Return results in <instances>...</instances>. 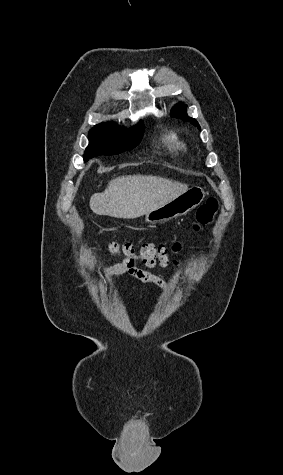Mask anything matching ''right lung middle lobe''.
I'll list each match as a JSON object with an SVG mask.
<instances>
[{
  "label": "right lung middle lobe",
  "mask_w": 283,
  "mask_h": 475,
  "mask_svg": "<svg viewBox=\"0 0 283 475\" xmlns=\"http://www.w3.org/2000/svg\"><path fill=\"white\" fill-rule=\"evenodd\" d=\"M143 131L142 123L126 130L114 123L94 126L88 134L89 146L85 150L84 161L99 155H115L133 149L140 143Z\"/></svg>",
  "instance_id": "obj_1"
}]
</instances>
